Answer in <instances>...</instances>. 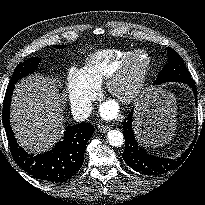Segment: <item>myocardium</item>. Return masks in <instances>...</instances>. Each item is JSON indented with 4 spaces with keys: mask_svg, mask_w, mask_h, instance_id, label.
I'll use <instances>...</instances> for the list:
<instances>
[{
    "mask_svg": "<svg viewBox=\"0 0 205 205\" xmlns=\"http://www.w3.org/2000/svg\"><path fill=\"white\" fill-rule=\"evenodd\" d=\"M139 55L145 56V65L140 70L135 80L128 86L127 91L123 94L118 93V86L125 80L132 62ZM150 69V55L146 51L141 49L132 51L121 61V63L114 70V72L106 79L105 91L107 95L123 104H129L134 102L139 97L144 88Z\"/></svg>",
    "mask_w": 205,
    "mask_h": 205,
    "instance_id": "1",
    "label": "myocardium"
}]
</instances>
